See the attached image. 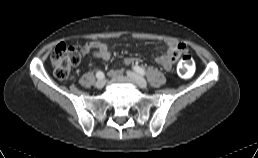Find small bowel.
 <instances>
[{
    "label": "small bowel",
    "mask_w": 258,
    "mask_h": 158,
    "mask_svg": "<svg viewBox=\"0 0 258 158\" xmlns=\"http://www.w3.org/2000/svg\"><path fill=\"white\" fill-rule=\"evenodd\" d=\"M166 51L155 58L157 64L162 66L166 71L171 70L173 64L179 58V56L186 52L187 47L184 43L178 42L173 39H167L164 42ZM85 46L92 52L93 57L101 58L103 60H109L111 58V51L109 45L105 42L93 41L87 43ZM140 62L138 57H129L124 60L125 64H136ZM113 75H117L119 72L113 70Z\"/></svg>",
    "instance_id": "obj_1"
}]
</instances>
